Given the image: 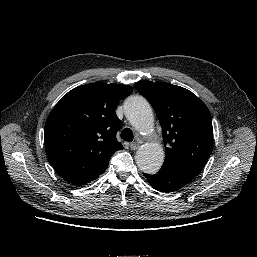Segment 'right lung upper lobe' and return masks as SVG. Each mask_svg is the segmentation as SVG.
Segmentation results:
<instances>
[{"label": "right lung upper lobe", "instance_id": "cb5924a9", "mask_svg": "<svg viewBox=\"0 0 257 257\" xmlns=\"http://www.w3.org/2000/svg\"><path fill=\"white\" fill-rule=\"evenodd\" d=\"M132 92L121 84L92 83L74 88L53 108L45 124V150L55 169L73 185L99 177L112 154L121 122L115 109Z\"/></svg>", "mask_w": 257, "mask_h": 257}]
</instances>
